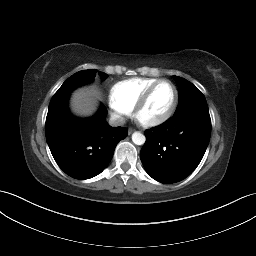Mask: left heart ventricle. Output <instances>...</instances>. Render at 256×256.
Returning <instances> with one entry per match:
<instances>
[{
	"label": "left heart ventricle",
	"mask_w": 256,
	"mask_h": 256,
	"mask_svg": "<svg viewBox=\"0 0 256 256\" xmlns=\"http://www.w3.org/2000/svg\"><path fill=\"white\" fill-rule=\"evenodd\" d=\"M173 96L174 92L170 84H160L153 92L145 108L142 110L141 118L151 119L161 116L170 107Z\"/></svg>",
	"instance_id": "b2bd125f"
}]
</instances>
